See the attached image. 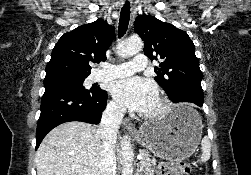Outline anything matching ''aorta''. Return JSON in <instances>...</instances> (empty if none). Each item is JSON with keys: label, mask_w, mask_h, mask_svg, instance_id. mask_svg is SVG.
<instances>
[{"label": "aorta", "mask_w": 251, "mask_h": 175, "mask_svg": "<svg viewBox=\"0 0 251 175\" xmlns=\"http://www.w3.org/2000/svg\"><path fill=\"white\" fill-rule=\"evenodd\" d=\"M144 44L141 38H129L125 42L118 44L116 48L117 56L129 58L134 54H139L143 50ZM122 153V175H133V147L129 135H124L121 141Z\"/></svg>", "instance_id": "762f6f07"}]
</instances>
